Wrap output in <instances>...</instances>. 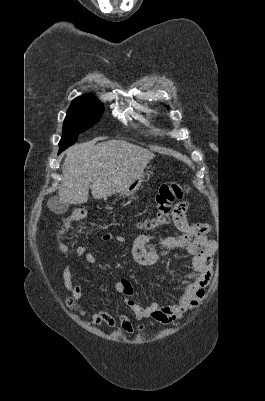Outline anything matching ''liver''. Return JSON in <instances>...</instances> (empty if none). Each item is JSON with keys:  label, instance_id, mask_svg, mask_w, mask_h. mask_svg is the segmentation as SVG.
<instances>
[{"label": "liver", "instance_id": "6515ba94", "mask_svg": "<svg viewBox=\"0 0 265 401\" xmlns=\"http://www.w3.org/2000/svg\"><path fill=\"white\" fill-rule=\"evenodd\" d=\"M101 138L104 136L68 148L61 166L63 178L58 192L63 203H87L89 188L93 198L119 192L156 156L151 150L127 140L114 138L97 142Z\"/></svg>", "mask_w": 265, "mask_h": 401}]
</instances>
